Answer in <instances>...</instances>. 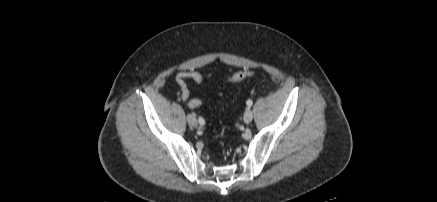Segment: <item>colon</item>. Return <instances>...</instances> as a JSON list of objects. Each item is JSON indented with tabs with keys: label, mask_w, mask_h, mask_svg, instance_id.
I'll use <instances>...</instances> for the list:
<instances>
[{
	"label": "colon",
	"mask_w": 437,
	"mask_h": 202,
	"mask_svg": "<svg viewBox=\"0 0 437 202\" xmlns=\"http://www.w3.org/2000/svg\"><path fill=\"white\" fill-rule=\"evenodd\" d=\"M253 75V72L250 70H241L236 73H234L230 78L229 82L231 83H238L243 81L244 79L251 77Z\"/></svg>",
	"instance_id": "colon-1"
}]
</instances>
